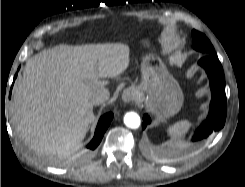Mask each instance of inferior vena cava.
<instances>
[{
    "instance_id": "obj_1",
    "label": "inferior vena cava",
    "mask_w": 245,
    "mask_h": 187,
    "mask_svg": "<svg viewBox=\"0 0 245 187\" xmlns=\"http://www.w3.org/2000/svg\"><path fill=\"white\" fill-rule=\"evenodd\" d=\"M109 96V90L105 87H100L91 91L88 99L91 105H101L109 99Z\"/></svg>"
}]
</instances>
